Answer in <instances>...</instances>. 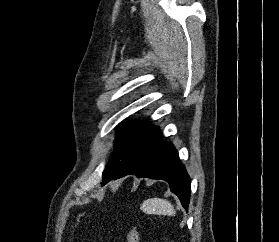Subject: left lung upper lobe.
I'll list each match as a JSON object with an SVG mask.
<instances>
[{"label": "left lung upper lobe", "mask_w": 279, "mask_h": 242, "mask_svg": "<svg viewBox=\"0 0 279 242\" xmlns=\"http://www.w3.org/2000/svg\"><path fill=\"white\" fill-rule=\"evenodd\" d=\"M115 149L103 172L105 183L118 179L129 166L162 140L158 127L143 121H125L116 129Z\"/></svg>", "instance_id": "1"}]
</instances>
